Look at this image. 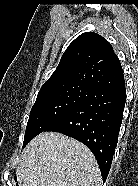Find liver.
I'll return each mask as SVG.
<instances>
[{
  "label": "liver",
  "instance_id": "obj_1",
  "mask_svg": "<svg viewBox=\"0 0 138 186\" xmlns=\"http://www.w3.org/2000/svg\"><path fill=\"white\" fill-rule=\"evenodd\" d=\"M19 186H101L92 152L57 132H43L24 149L16 169Z\"/></svg>",
  "mask_w": 138,
  "mask_h": 186
}]
</instances>
